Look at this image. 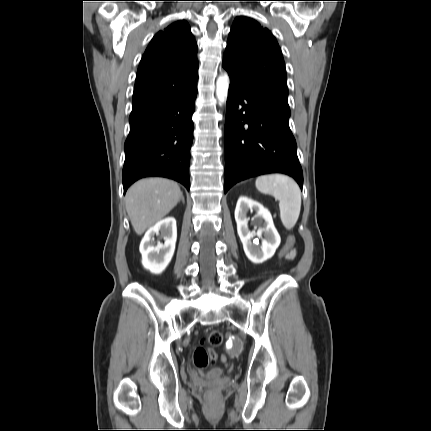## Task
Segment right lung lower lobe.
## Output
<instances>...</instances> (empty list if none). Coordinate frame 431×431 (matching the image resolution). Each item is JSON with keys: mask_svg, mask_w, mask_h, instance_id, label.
Wrapping results in <instances>:
<instances>
[{"mask_svg": "<svg viewBox=\"0 0 431 431\" xmlns=\"http://www.w3.org/2000/svg\"><path fill=\"white\" fill-rule=\"evenodd\" d=\"M196 96L197 81L171 99L131 112L124 145V193L136 180L148 176L174 179L189 190Z\"/></svg>", "mask_w": 431, "mask_h": 431, "instance_id": "obj_1", "label": "right lung lower lobe"}]
</instances>
